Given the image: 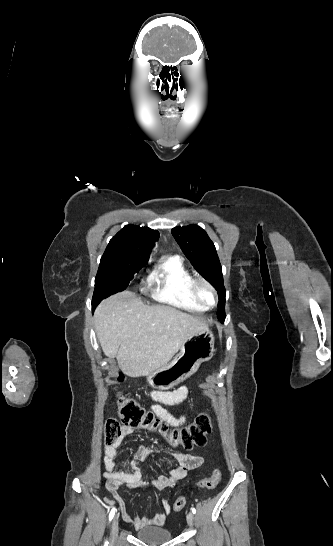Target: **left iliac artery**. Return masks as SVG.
Wrapping results in <instances>:
<instances>
[{"instance_id":"1","label":"left iliac artery","mask_w":333,"mask_h":546,"mask_svg":"<svg viewBox=\"0 0 333 546\" xmlns=\"http://www.w3.org/2000/svg\"><path fill=\"white\" fill-rule=\"evenodd\" d=\"M191 511L193 512V514L196 513V509L194 507L191 508Z\"/></svg>"}]
</instances>
